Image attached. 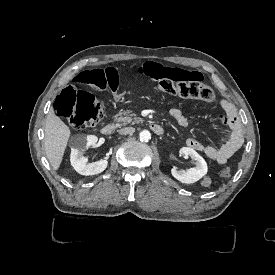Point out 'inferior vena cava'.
Here are the masks:
<instances>
[{
  "label": "inferior vena cava",
  "instance_id": "obj_1",
  "mask_svg": "<svg viewBox=\"0 0 275 275\" xmlns=\"http://www.w3.org/2000/svg\"><path fill=\"white\" fill-rule=\"evenodd\" d=\"M135 132V128L134 127H126V128H122L120 130H118V133L120 135H124V134H133Z\"/></svg>",
  "mask_w": 275,
  "mask_h": 275
}]
</instances>
